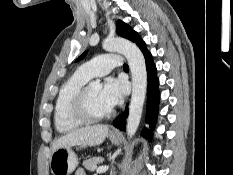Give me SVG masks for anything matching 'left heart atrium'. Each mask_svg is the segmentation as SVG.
<instances>
[{"label": "left heart atrium", "mask_w": 233, "mask_h": 175, "mask_svg": "<svg viewBox=\"0 0 233 175\" xmlns=\"http://www.w3.org/2000/svg\"><path fill=\"white\" fill-rule=\"evenodd\" d=\"M126 92V85L116 78H108L101 88V97L109 108L118 105Z\"/></svg>", "instance_id": "obj_1"}]
</instances>
